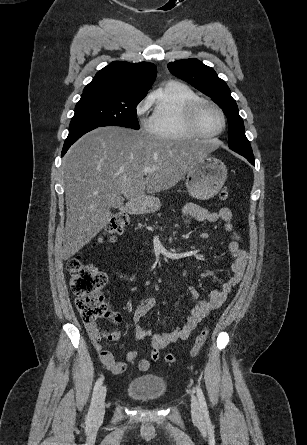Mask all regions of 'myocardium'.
<instances>
[{"mask_svg": "<svg viewBox=\"0 0 307 445\" xmlns=\"http://www.w3.org/2000/svg\"><path fill=\"white\" fill-rule=\"evenodd\" d=\"M203 105H211L221 112V114L223 116V120H224V128L222 131L215 133V134H211V133H208L207 131H205V129L203 128V126L200 123V118H199V113H200L201 107ZM187 118H188V122H189L192 130L195 132V134H197L198 136H200L202 138L218 137V136L222 135L228 127V115H227L226 111L224 110V108L221 105H219L218 103L208 100V99L197 98L193 103H191L187 109Z\"/></svg>", "mask_w": 307, "mask_h": 445, "instance_id": "1", "label": "myocardium"}]
</instances>
